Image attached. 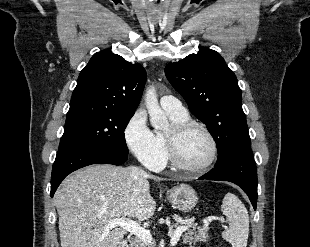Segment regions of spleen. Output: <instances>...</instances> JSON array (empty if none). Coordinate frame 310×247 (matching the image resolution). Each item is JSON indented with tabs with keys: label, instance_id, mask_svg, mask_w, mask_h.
<instances>
[{
	"label": "spleen",
	"instance_id": "1",
	"mask_svg": "<svg viewBox=\"0 0 310 247\" xmlns=\"http://www.w3.org/2000/svg\"><path fill=\"white\" fill-rule=\"evenodd\" d=\"M227 217L229 228L222 233L223 239L232 247H246L249 234V216L241 200L232 193H227L221 206Z\"/></svg>",
	"mask_w": 310,
	"mask_h": 247
}]
</instances>
